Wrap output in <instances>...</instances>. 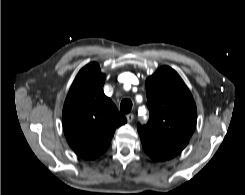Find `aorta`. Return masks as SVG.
Here are the masks:
<instances>
[{"mask_svg": "<svg viewBox=\"0 0 245 195\" xmlns=\"http://www.w3.org/2000/svg\"><path fill=\"white\" fill-rule=\"evenodd\" d=\"M140 112H141V114H142L143 116H145V114H146V109H145V107H142L141 110H140Z\"/></svg>", "mask_w": 245, "mask_h": 195, "instance_id": "1", "label": "aorta"}]
</instances>
